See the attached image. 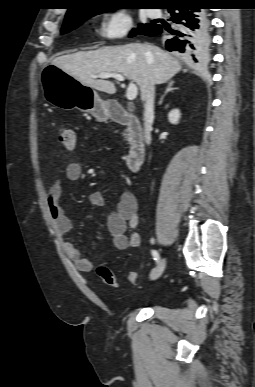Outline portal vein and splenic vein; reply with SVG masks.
Instances as JSON below:
<instances>
[{"instance_id":"18ae733b","label":"portal vein and splenic vein","mask_w":255,"mask_h":387,"mask_svg":"<svg viewBox=\"0 0 255 387\" xmlns=\"http://www.w3.org/2000/svg\"><path fill=\"white\" fill-rule=\"evenodd\" d=\"M94 77L95 78H101V79H106V78L113 77V78H115L118 81H124L125 80L124 76L119 74V73H100V74H98V75H96ZM137 93H138V88H137L136 84L130 83L128 85L127 92H126L127 99L129 101L135 100L136 97H137Z\"/></svg>"}]
</instances>
